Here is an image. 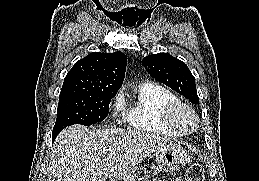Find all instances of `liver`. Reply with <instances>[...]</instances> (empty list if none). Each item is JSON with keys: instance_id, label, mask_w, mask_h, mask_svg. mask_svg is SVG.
I'll use <instances>...</instances> for the list:
<instances>
[{"instance_id": "1", "label": "liver", "mask_w": 259, "mask_h": 181, "mask_svg": "<svg viewBox=\"0 0 259 181\" xmlns=\"http://www.w3.org/2000/svg\"><path fill=\"white\" fill-rule=\"evenodd\" d=\"M167 138L118 128L70 126L55 141L47 181H105L172 146Z\"/></svg>"}]
</instances>
